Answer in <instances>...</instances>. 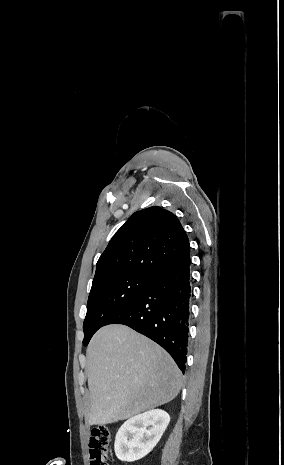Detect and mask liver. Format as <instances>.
Wrapping results in <instances>:
<instances>
[{
	"label": "liver",
	"instance_id": "obj_1",
	"mask_svg": "<svg viewBox=\"0 0 284 465\" xmlns=\"http://www.w3.org/2000/svg\"><path fill=\"white\" fill-rule=\"evenodd\" d=\"M89 425H108L165 405L181 373L159 345L125 325L102 327L87 347Z\"/></svg>",
	"mask_w": 284,
	"mask_h": 465
}]
</instances>
